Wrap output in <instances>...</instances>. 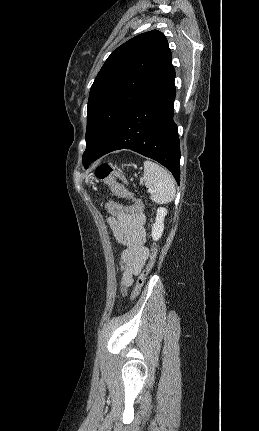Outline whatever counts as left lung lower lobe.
<instances>
[{"instance_id": "obj_1", "label": "left lung lower lobe", "mask_w": 259, "mask_h": 431, "mask_svg": "<svg viewBox=\"0 0 259 431\" xmlns=\"http://www.w3.org/2000/svg\"><path fill=\"white\" fill-rule=\"evenodd\" d=\"M172 67L158 84L117 123L92 162L119 149H130L161 163L180 182V146L173 121L176 95Z\"/></svg>"}]
</instances>
